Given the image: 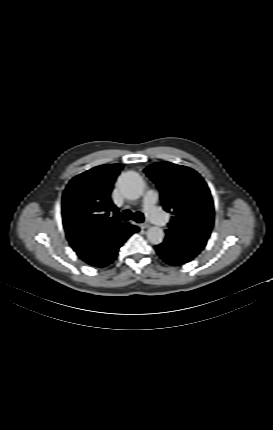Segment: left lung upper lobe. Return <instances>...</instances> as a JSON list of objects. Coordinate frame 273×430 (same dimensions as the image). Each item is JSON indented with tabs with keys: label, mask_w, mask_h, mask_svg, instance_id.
Here are the masks:
<instances>
[{
	"label": "left lung upper lobe",
	"mask_w": 273,
	"mask_h": 430,
	"mask_svg": "<svg viewBox=\"0 0 273 430\" xmlns=\"http://www.w3.org/2000/svg\"><path fill=\"white\" fill-rule=\"evenodd\" d=\"M160 190L164 210L172 213L166 230L175 248L192 260L206 246L214 223V206L203 178L193 169L170 162L144 170Z\"/></svg>",
	"instance_id": "obj_1"
}]
</instances>
